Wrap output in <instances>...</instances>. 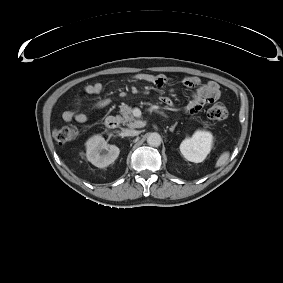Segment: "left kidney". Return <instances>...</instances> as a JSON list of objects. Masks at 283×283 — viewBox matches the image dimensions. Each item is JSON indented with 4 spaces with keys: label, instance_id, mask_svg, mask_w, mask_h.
I'll return each mask as SVG.
<instances>
[{
    "label": "left kidney",
    "instance_id": "1",
    "mask_svg": "<svg viewBox=\"0 0 283 283\" xmlns=\"http://www.w3.org/2000/svg\"><path fill=\"white\" fill-rule=\"evenodd\" d=\"M213 136L208 131L197 130L191 138L180 144L182 155L191 162H202L211 151Z\"/></svg>",
    "mask_w": 283,
    "mask_h": 283
}]
</instances>
